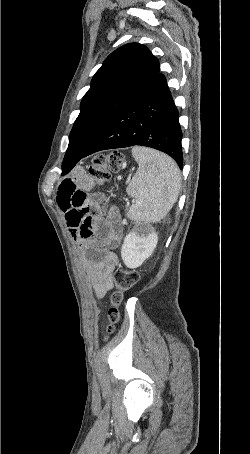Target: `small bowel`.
<instances>
[{
    "mask_svg": "<svg viewBox=\"0 0 250 454\" xmlns=\"http://www.w3.org/2000/svg\"><path fill=\"white\" fill-rule=\"evenodd\" d=\"M93 186L94 180L78 170L60 183L57 203L83 256L88 279L96 295L103 297L113 287L118 265L115 249L121 243L123 227L116 209L106 218L99 215L102 197L90 193Z\"/></svg>",
    "mask_w": 250,
    "mask_h": 454,
    "instance_id": "small-bowel-1",
    "label": "small bowel"
}]
</instances>
